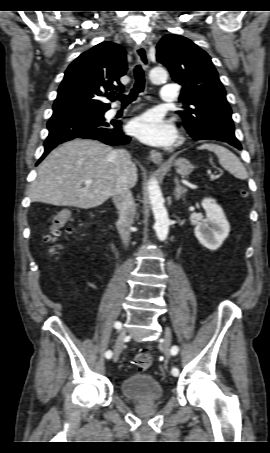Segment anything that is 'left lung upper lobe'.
I'll use <instances>...</instances> for the list:
<instances>
[{
    "instance_id": "left-lung-upper-lobe-1",
    "label": "left lung upper lobe",
    "mask_w": 270,
    "mask_h": 453,
    "mask_svg": "<svg viewBox=\"0 0 270 453\" xmlns=\"http://www.w3.org/2000/svg\"><path fill=\"white\" fill-rule=\"evenodd\" d=\"M157 61L182 86L180 101L185 128L201 135L236 139L231 108L209 55L189 39L166 35L157 45Z\"/></svg>"
}]
</instances>
